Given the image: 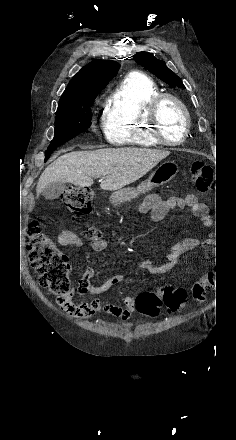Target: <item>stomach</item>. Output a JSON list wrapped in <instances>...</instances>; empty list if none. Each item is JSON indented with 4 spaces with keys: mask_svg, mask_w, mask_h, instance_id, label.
Wrapping results in <instances>:
<instances>
[{
    "mask_svg": "<svg viewBox=\"0 0 236 440\" xmlns=\"http://www.w3.org/2000/svg\"><path fill=\"white\" fill-rule=\"evenodd\" d=\"M178 173V165L174 161H165L158 166L149 178L141 182L137 188H126L114 192L110 199L115 205L130 202L140 194L150 192L153 188L164 185Z\"/></svg>",
    "mask_w": 236,
    "mask_h": 440,
    "instance_id": "stomach-1",
    "label": "stomach"
}]
</instances>
